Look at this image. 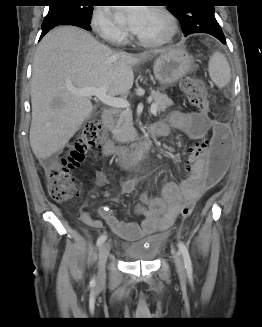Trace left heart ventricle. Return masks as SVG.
I'll use <instances>...</instances> for the list:
<instances>
[{"label": "left heart ventricle", "instance_id": "obj_1", "mask_svg": "<svg viewBox=\"0 0 262 327\" xmlns=\"http://www.w3.org/2000/svg\"><path fill=\"white\" fill-rule=\"evenodd\" d=\"M167 31L168 27L164 19L156 12L150 10L136 33L144 38L159 39L165 36Z\"/></svg>", "mask_w": 262, "mask_h": 327}]
</instances>
